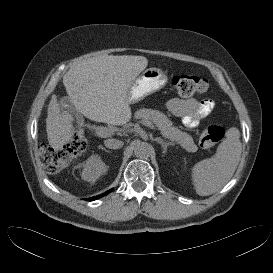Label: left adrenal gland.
I'll return each instance as SVG.
<instances>
[{"instance_id":"left-adrenal-gland-1","label":"left adrenal gland","mask_w":273,"mask_h":273,"mask_svg":"<svg viewBox=\"0 0 273 273\" xmlns=\"http://www.w3.org/2000/svg\"><path fill=\"white\" fill-rule=\"evenodd\" d=\"M155 141L162 146L164 154L167 152V147L170 146V145H173L171 142L164 141L160 137L155 138Z\"/></svg>"}]
</instances>
